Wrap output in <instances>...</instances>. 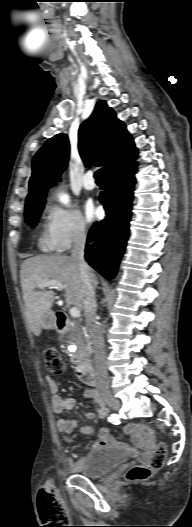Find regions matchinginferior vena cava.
<instances>
[{
  "mask_svg": "<svg viewBox=\"0 0 192 527\" xmlns=\"http://www.w3.org/2000/svg\"><path fill=\"white\" fill-rule=\"evenodd\" d=\"M71 257L79 264V271L84 284L83 310L88 333L92 340L96 378L98 387L105 388L108 385L107 370L105 366V344L102 331L96 320V300L94 291L93 273L84 258L86 234L83 226H79L74 233Z\"/></svg>",
  "mask_w": 192,
  "mask_h": 527,
  "instance_id": "obj_1",
  "label": "inferior vena cava"
}]
</instances>
